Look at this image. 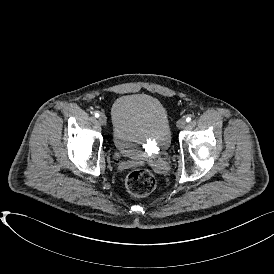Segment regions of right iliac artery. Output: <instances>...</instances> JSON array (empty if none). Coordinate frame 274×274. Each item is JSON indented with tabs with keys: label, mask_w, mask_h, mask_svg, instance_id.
Listing matches in <instances>:
<instances>
[{
	"label": "right iliac artery",
	"mask_w": 274,
	"mask_h": 274,
	"mask_svg": "<svg viewBox=\"0 0 274 274\" xmlns=\"http://www.w3.org/2000/svg\"><path fill=\"white\" fill-rule=\"evenodd\" d=\"M94 116L98 118L100 116V114L98 112H95Z\"/></svg>",
	"instance_id": "right-iliac-artery-1"
}]
</instances>
